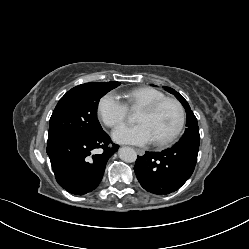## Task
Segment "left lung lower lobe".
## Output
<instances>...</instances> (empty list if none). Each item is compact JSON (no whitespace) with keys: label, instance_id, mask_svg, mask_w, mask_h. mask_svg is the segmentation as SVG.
<instances>
[{"label":"left lung lower lobe","instance_id":"left-lung-lower-lobe-1","mask_svg":"<svg viewBox=\"0 0 249 249\" xmlns=\"http://www.w3.org/2000/svg\"><path fill=\"white\" fill-rule=\"evenodd\" d=\"M199 145L175 144L162 152L138 156L135 173L141 186L154 194L166 195L178 190L192 175Z\"/></svg>","mask_w":249,"mask_h":249}]
</instances>
